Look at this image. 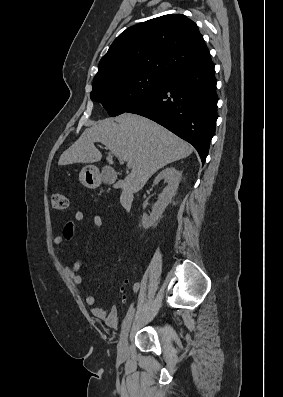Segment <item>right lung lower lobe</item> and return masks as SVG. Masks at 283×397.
<instances>
[{"instance_id":"right-lung-lower-lobe-1","label":"right lung lower lobe","mask_w":283,"mask_h":397,"mask_svg":"<svg viewBox=\"0 0 283 397\" xmlns=\"http://www.w3.org/2000/svg\"><path fill=\"white\" fill-rule=\"evenodd\" d=\"M214 64L166 78L160 89L127 112L147 117L192 144L204 164L218 118Z\"/></svg>"}]
</instances>
